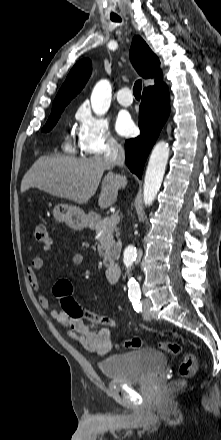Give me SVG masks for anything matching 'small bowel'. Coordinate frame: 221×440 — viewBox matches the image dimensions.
<instances>
[{"label": "small bowel", "mask_w": 221, "mask_h": 440, "mask_svg": "<svg viewBox=\"0 0 221 440\" xmlns=\"http://www.w3.org/2000/svg\"><path fill=\"white\" fill-rule=\"evenodd\" d=\"M49 249V246L44 248L45 251ZM72 263L75 266L82 265L83 255L75 253L72 257ZM42 268L43 259L39 256L33 257L26 268L27 281L36 293L40 306L48 311L51 317L66 329L67 334L72 339L78 341L86 350L98 354L109 352L113 344L112 330L114 328L104 329L102 324H95L94 321H85L84 318H79L78 321H67L66 315L62 314L60 307L52 308L48 298L41 292L37 273Z\"/></svg>", "instance_id": "small-bowel-1"}]
</instances>
